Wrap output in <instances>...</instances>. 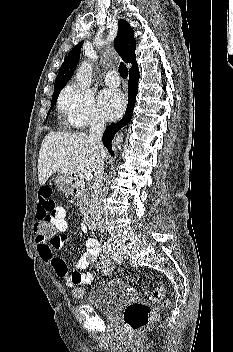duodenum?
Returning a JSON list of instances; mask_svg holds the SVG:
<instances>
[{
    "label": "duodenum",
    "mask_w": 233,
    "mask_h": 352,
    "mask_svg": "<svg viewBox=\"0 0 233 352\" xmlns=\"http://www.w3.org/2000/svg\"><path fill=\"white\" fill-rule=\"evenodd\" d=\"M84 221L89 228L94 229L96 227L94 213L91 209H87L84 212Z\"/></svg>",
    "instance_id": "duodenum-1"
}]
</instances>
